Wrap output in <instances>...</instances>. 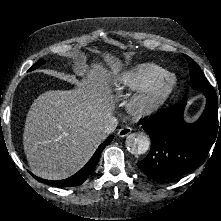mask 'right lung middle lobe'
I'll list each match as a JSON object with an SVG mask.
<instances>
[{
	"label": "right lung middle lobe",
	"instance_id": "1",
	"mask_svg": "<svg viewBox=\"0 0 221 221\" xmlns=\"http://www.w3.org/2000/svg\"><path fill=\"white\" fill-rule=\"evenodd\" d=\"M45 61L43 59L39 60L37 63H35L28 71H32L34 69H37L41 64H44Z\"/></svg>",
	"mask_w": 221,
	"mask_h": 221
}]
</instances>
